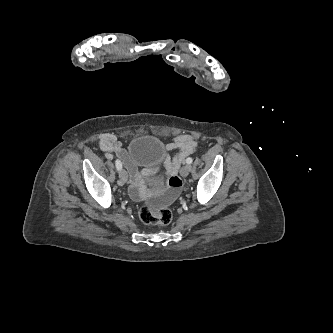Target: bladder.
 <instances>
[{
	"label": "bladder",
	"mask_w": 333,
	"mask_h": 333,
	"mask_svg": "<svg viewBox=\"0 0 333 333\" xmlns=\"http://www.w3.org/2000/svg\"><path fill=\"white\" fill-rule=\"evenodd\" d=\"M166 149L158 137L154 135L135 136L128 146V157L142 167H153L161 163Z\"/></svg>",
	"instance_id": "31cf9c89"
}]
</instances>
